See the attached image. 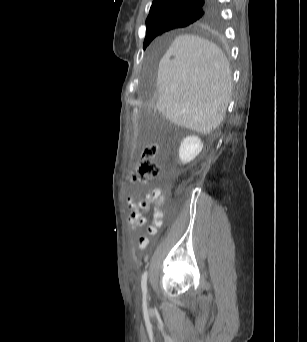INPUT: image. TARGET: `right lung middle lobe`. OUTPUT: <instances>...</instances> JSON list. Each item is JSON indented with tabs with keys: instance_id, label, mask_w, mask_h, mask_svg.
I'll use <instances>...</instances> for the list:
<instances>
[{
	"instance_id": "right-lung-middle-lobe-1",
	"label": "right lung middle lobe",
	"mask_w": 307,
	"mask_h": 342,
	"mask_svg": "<svg viewBox=\"0 0 307 342\" xmlns=\"http://www.w3.org/2000/svg\"><path fill=\"white\" fill-rule=\"evenodd\" d=\"M202 10L183 9L176 11H166L157 16L154 23L147 27L144 40V49L149 43L163 32L174 28L185 27L195 22L201 15Z\"/></svg>"
}]
</instances>
